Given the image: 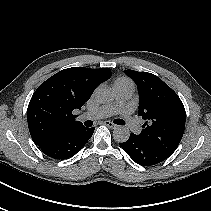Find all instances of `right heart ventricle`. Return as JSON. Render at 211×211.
<instances>
[{
    "label": "right heart ventricle",
    "mask_w": 211,
    "mask_h": 211,
    "mask_svg": "<svg viewBox=\"0 0 211 211\" xmlns=\"http://www.w3.org/2000/svg\"><path fill=\"white\" fill-rule=\"evenodd\" d=\"M114 87H120V86H134L133 82L126 78V77H119L114 81Z\"/></svg>",
    "instance_id": "right-heart-ventricle-1"
}]
</instances>
